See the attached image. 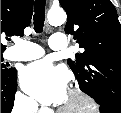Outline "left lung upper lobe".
<instances>
[{
  "mask_svg": "<svg viewBox=\"0 0 121 113\" xmlns=\"http://www.w3.org/2000/svg\"><path fill=\"white\" fill-rule=\"evenodd\" d=\"M66 33L84 48L68 65L80 89L99 103L121 107V25L110 0H59Z\"/></svg>",
  "mask_w": 121,
  "mask_h": 113,
  "instance_id": "1",
  "label": "left lung upper lobe"
}]
</instances>
